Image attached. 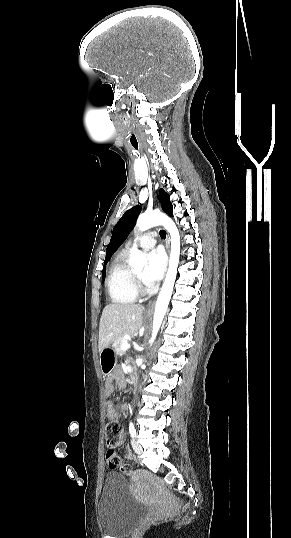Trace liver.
Returning <instances> with one entry per match:
<instances>
[{
	"label": "liver",
	"instance_id": "obj_1",
	"mask_svg": "<svg viewBox=\"0 0 291 538\" xmlns=\"http://www.w3.org/2000/svg\"><path fill=\"white\" fill-rule=\"evenodd\" d=\"M144 306L139 304H108L99 324V352L125 334H134L143 321Z\"/></svg>",
	"mask_w": 291,
	"mask_h": 538
}]
</instances>
